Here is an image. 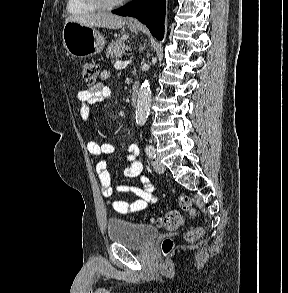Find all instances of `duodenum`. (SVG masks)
I'll return each mask as SVG.
<instances>
[{
	"mask_svg": "<svg viewBox=\"0 0 288 293\" xmlns=\"http://www.w3.org/2000/svg\"><path fill=\"white\" fill-rule=\"evenodd\" d=\"M139 100V87L138 84H134L133 89H132V93H131V104L133 106H136Z\"/></svg>",
	"mask_w": 288,
	"mask_h": 293,
	"instance_id": "obj_1",
	"label": "duodenum"
}]
</instances>
